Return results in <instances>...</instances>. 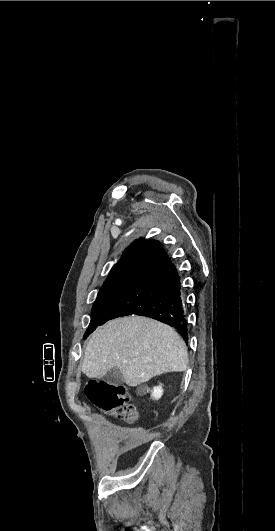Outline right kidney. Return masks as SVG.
<instances>
[{"instance_id":"1","label":"right kidney","mask_w":275,"mask_h":531,"mask_svg":"<svg viewBox=\"0 0 275 531\" xmlns=\"http://www.w3.org/2000/svg\"><path fill=\"white\" fill-rule=\"evenodd\" d=\"M150 389L146 387V385H141V387H138L137 389V395H146V393H149ZM151 397L153 401H158V399H161L164 391L162 389V385H159V387H153L152 391H150Z\"/></svg>"}]
</instances>
